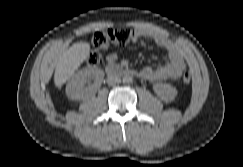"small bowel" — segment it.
<instances>
[{
	"instance_id": "obj_1",
	"label": "small bowel",
	"mask_w": 243,
	"mask_h": 167,
	"mask_svg": "<svg viewBox=\"0 0 243 167\" xmlns=\"http://www.w3.org/2000/svg\"><path fill=\"white\" fill-rule=\"evenodd\" d=\"M132 39L138 41L142 38L150 39L156 46L164 49L168 55L169 61L159 67L153 68L146 66L141 69V76L148 81H160L166 79H178L186 70V61L181 48L167 38L165 35L151 31L145 28H136L133 30ZM117 54L110 53L107 56V62L114 64L117 61Z\"/></svg>"
}]
</instances>
